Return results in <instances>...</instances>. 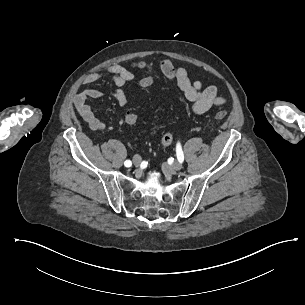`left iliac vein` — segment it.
Listing matches in <instances>:
<instances>
[{
    "instance_id": "4c4485c4",
    "label": "left iliac vein",
    "mask_w": 305,
    "mask_h": 305,
    "mask_svg": "<svg viewBox=\"0 0 305 305\" xmlns=\"http://www.w3.org/2000/svg\"><path fill=\"white\" fill-rule=\"evenodd\" d=\"M182 162H179V161H176L175 163H173L172 165H170L169 167L168 166H165L167 170L169 171H173V172H176V171H180L181 168H182Z\"/></svg>"
}]
</instances>
